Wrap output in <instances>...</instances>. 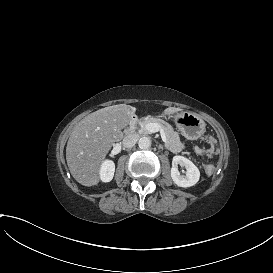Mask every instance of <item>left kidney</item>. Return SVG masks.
I'll return each instance as SVG.
<instances>
[{
    "instance_id": "5707ae66",
    "label": "left kidney",
    "mask_w": 273,
    "mask_h": 273,
    "mask_svg": "<svg viewBox=\"0 0 273 273\" xmlns=\"http://www.w3.org/2000/svg\"><path fill=\"white\" fill-rule=\"evenodd\" d=\"M177 164L185 168V176L180 175ZM174 167L171 169V178L175 185L182 188L192 187L200 179V170L192 161L182 156L173 158Z\"/></svg>"
}]
</instances>
